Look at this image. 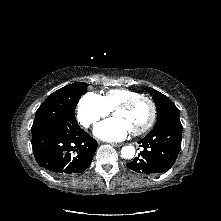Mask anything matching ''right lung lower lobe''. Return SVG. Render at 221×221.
<instances>
[{"label":"right lung lower lobe","mask_w":221,"mask_h":221,"mask_svg":"<svg viewBox=\"0 0 221 221\" xmlns=\"http://www.w3.org/2000/svg\"><path fill=\"white\" fill-rule=\"evenodd\" d=\"M97 142L78 124L50 121L32 132L37 163L60 176L83 172L91 163Z\"/></svg>","instance_id":"98d812e1"}]
</instances>
